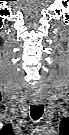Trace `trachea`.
Returning a JSON list of instances; mask_svg holds the SVG:
<instances>
[{
    "instance_id": "1",
    "label": "trachea",
    "mask_w": 69,
    "mask_h": 135,
    "mask_svg": "<svg viewBox=\"0 0 69 135\" xmlns=\"http://www.w3.org/2000/svg\"><path fill=\"white\" fill-rule=\"evenodd\" d=\"M44 112L43 105H32L30 108V114L33 120H38Z\"/></svg>"
}]
</instances>
